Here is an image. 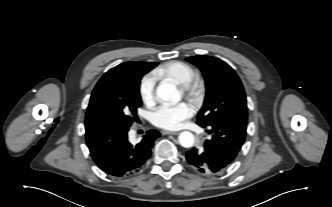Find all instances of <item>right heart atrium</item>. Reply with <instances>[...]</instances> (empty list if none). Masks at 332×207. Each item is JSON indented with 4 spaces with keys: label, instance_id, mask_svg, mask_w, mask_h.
Returning a JSON list of instances; mask_svg holds the SVG:
<instances>
[{
    "label": "right heart atrium",
    "instance_id": "1",
    "mask_svg": "<svg viewBox=\"0 0 332 207\" xmlns=\"http://www.w3.org/2000/svg\"><path fill=\"white\" fill-rule=\"evenodd\" d=\"M156 78L153 75H146L139 84V94L144 104L151 106L155 103Z\"/></svg>",
    "mask_w": 332,
    "mask_h": 207
}]
</instances>
